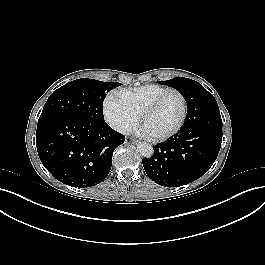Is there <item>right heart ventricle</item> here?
Here are the masks:
<instances>
[{"label":"right heart ventricle","mask_w":265,"mask_h":265,"mask_svg":"<svg viewBox=\"0 0 265 265\" xmlns=\"http://www.w3.org/2000/svg\"><path fill=\"white\" fill-rule=\"evenodd\" d=\"M166 87L159 84H146L132 89H122L120 94L128 106L139 117L144 107Z\"/></svg>","instance_id":"1"}]
</instances>
